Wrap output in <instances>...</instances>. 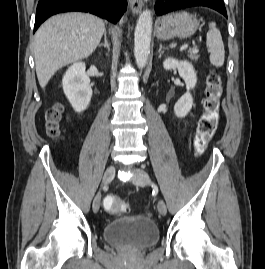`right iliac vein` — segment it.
I'll list each match as a JSON object with an SVG mask.
<instances>
[{"instance_id":"1","label":"right iliac vein","mask_w":265,"mask_h":269,"mask_svg":"<svg viewBox=\"0 0 265 269\" xmlns=\"http://www.w3.org/2000/svg\"><path fill=\"white\" fill-rule=\"evenodd\" d=\"M115 166H109L103 175V183L104 184H108L109 182L112 181V179L114 178L115 175ZM100 203H101V195L100 193H97V195L95 196L93 203H92V208L93 211L96 213L98 212L99 208H100Z\"/></svg>"}]
</instances>
